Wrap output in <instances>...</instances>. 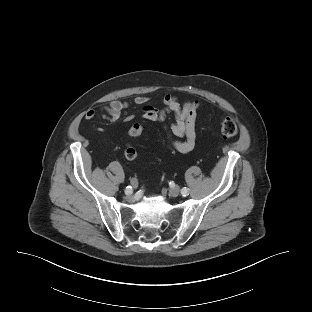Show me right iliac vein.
<instances>
[{"instance_id":"1","label":"right iliac vein","mask_w":312,"mask_h":312,"mask_svg":"<svg viewBox=\"0 0 312 312\" xmlns=\"http://www.w3.org/2000/svg\"><path fill=\"white\" fill-rule=\"evenodd\" d=\"M131 183H132V186L134 187V188H136L137 186H138V182H137V180L136 179H133L132 181H131ZM131 193H129V194H127V195H130Z\"/></svg>"}]
</instances>
